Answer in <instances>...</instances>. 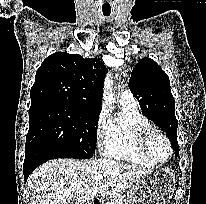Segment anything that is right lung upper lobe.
<instances>
[{
  "label": "right lung upper lobe",
  "mask_w": 206,
  "mask_h": 204,
  "mask_svg": "<svg viewBox=\"0 0 206 204\" xmlns=\"http://www.w3.org/2000/svg\"><path fill=\"white\" fill-rule=\"evenodd\" d=\"M107 73L97 59L56 52L47 57L36 72L31 103L56 101L101 110L102 87Z\"/></svg>",
  "instance_id": "1"
}]
</instances>
